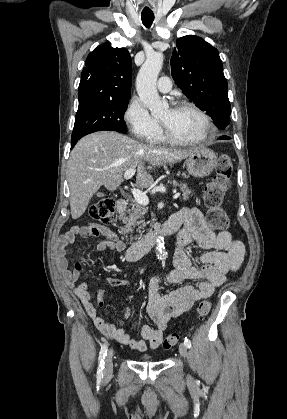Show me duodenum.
<instances>
[{"label": "duodenum", "instance_id": "duodenum-1", "mask_svg": "<svg viewBox=\"0 0 287 419\" xmlns=\"http://www.w3.org/2000/svg\"><path fill=\"white\" fill-rule=\"evenodd\" d=\"M127 206V200L119 199L117 201V210L119 213L124 212ZM175 229L176 228L173 225L167 223L161 230L148 233L127 248L125 252L126 260L132 262L140 259L156 244L159 236L170 235L175 231Z\"/></svg>", "mask_w": 287, "mask_h": 419}]
</instances>
